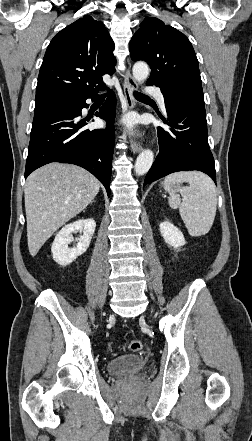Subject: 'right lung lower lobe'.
I'll use <instances>...</instances> for the list:
<instances>
[{
	"label": "right lung lower lobe",
	"instance_id": "98d812e1",
	"mask_svg": "<svg viewBox=\"0 0 252 441\" xmlns=\"http://www.w3.org/2000/svg\"><path fill=\"white\" fill-rule=\"evenodd\" d=\"M96 97L97 92L65 93L35 106L25 178L45 164L66 162L91 172L110 195L116 98L111 92L96 113L107 122L106 129L84 130L81 110L88 106L86 99Z\"/></svg>",
	"mask_w": 252,
	"mask_h": 441
}]
</instances>
